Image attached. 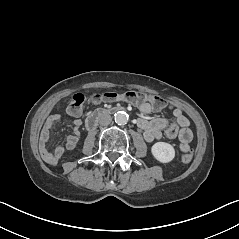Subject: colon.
Segmentation results:
<instances>
[{"instance_id": "5ec220e1", "label": "colon", "mask_w": 239, "mask_h": 239, "mask_svg": "<svg viewBox=\"0 0 239 239\" xmlns=\"http://www.w3.org/2000/svg\"><path fill=\"white\" fill-rule=\"evenodd\" d=\"M92 101L94 102H112V101H129L133 103H145L151 102L152 106L156 109H163L166 106V102L157 96L148 95L143 92L137 91H127L124 93H117L113 91H108L100 94H95L92 96ZM85 96L81 93L75 94L66 107V114L72 117H78L82 114L84 109ZM192 153L188 152L181 157L182 162L188 163L192 160Z\"/></svg>"}]
</instances>
